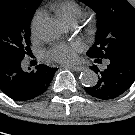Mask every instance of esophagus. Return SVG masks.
I'll list each match as a JSON object with an SVG mask.
<instances>
[{
  "label": "esophagus",
  "instance_id": "34e87169",
  "mask_svg": "<svg viewBox=\"0 0 135 135\" xmlns=\"http://www.w3.org/2000/svg\"><path fill=\"white\" fill-rule=\"evenodd\" d=\"M70 68L72 70L76 71V72H80V71H83L84 70V67L83 66H71Z\"/></svg>",
  "mask_w": 135,
  "mask_h": 135
}]
</instances>
